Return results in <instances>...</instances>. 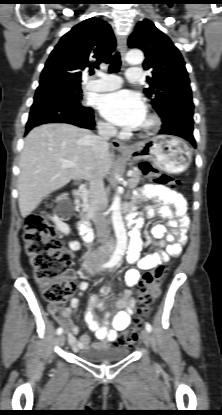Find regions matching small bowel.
Listing matches in <instances>:
<instances>
[{"label": "small bowel", "mask_w": 222, "mask_h": 415, "mask_svg": "<svg viewBox=\"0 0 222 415\" xmlns=\"http://www.w3.org/2000/svg\"><path fill=\"white\" fill-rule=\"evenodd\" d=\"M146 199H152L157 203L155 208H147L148 216L158 214L165 219L175 221L177 226L174 228L173 234L168 233L163 224L152 226L150 230L152 245L157 250L142 257L140 256L142 240L138 234H134L127 259L130 263H137V267L126 272L125 282L129 287H134L139 283L140 271L153 269L168 260L169 257H178L188 240L186 232L190 220L187 215V202L181 194L168 187L147 184L139 189L137 195L138 201ZM134 218L136 225L140 227L142 219L138 216ZM69 247L71 250L77 251L80 248V243L71 241ZM78 288V297L71 299L69 307L63 309L58 306H50V314L65 327L69 344L75 352L109 347L112 342L117 340L118 334L126 330L130 324V317L136 305L131 291H124L122 297L116 301L117 312L113 315L112 323L109 321V316L102 321L98 320L96 312L103 309L104 303L95 295L90 298L84 319L90 331L95 335L96 341L92 342L90 333H84L77 339L75 335L78 328L71 321V316L76 313L79 307V297L88 288L87 282L80 281ZM100 293L108 294L110 289L103 286Z\"/></svg>", "instance_id": "1"}]
</instances>
